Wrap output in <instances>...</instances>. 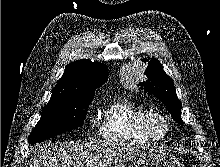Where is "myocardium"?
Returning <instances> with one entry per match:
<instances>
[{"label":"myocardium","instance_id":"f54148a6","mask_svg":"<svg viewBox=\"0 0 220 167\" xmlns=\"http://www.w3.org/2000/svg\"><path fill=\"white\" fill-rule=\"evenodd\" d=\"M158 124L163 126L162 133L156 130ZM142 129L150 141H162L169 135L171 125L163 114L150 111L143 120Z\"/></svg>","mask_w":220,"mask_h":167}]
</instances>
